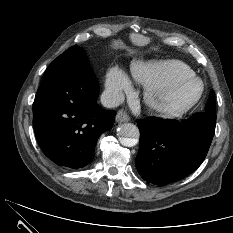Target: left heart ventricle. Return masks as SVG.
<instances>
[{"label":"left heart ventricle","mask_w":233,"mask_h":233,"mask_svg":"<svg viewBox=\"0 0 233 233\" xmlns=\"http://www.w3.org/2000/svg\"><path fill=\"white\" fill-rule=\"evenodd\" d=\"M199 85L188 81L177 85L174 89L160 95V100L169 106H181L191 101L198 93Z\"/></svg>","instance_id":"b2bd125f"}]
</instances>
